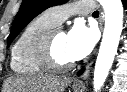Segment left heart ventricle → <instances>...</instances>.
Listing matches in <instances>:
<instances>
[{
    "label": "left heart ventricle",
    "instance_id": "1",
    "mask_svg": "<svg viewBox=\"0 0 127 92\" xmlns=\"http://www.w3.org/2000/svg\"><path fill=\"white\" fill-rule=\"evenodd\" d=\"M54 52L57 59L61 62L73 61L69 55L67 48V34L65 32H59L54 39Z\"/></svg>",
    "mask_w": 127,
    "mask_h": 92
}]
</instances>
